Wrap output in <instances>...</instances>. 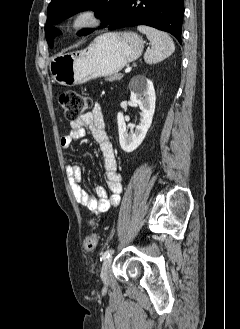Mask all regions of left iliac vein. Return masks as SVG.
I'll use <instances>...</instances> for the list:
<instances>
[{
	"label": "left iliac vein",
	"instance_id": "left-iliac-vein-1",
	"mask_svg": "<svg viewBox=\"0 0 240 329\" xmlns=\"http://www.w3.org/2000/svg\"><path fill=\"white\" fill-rule=\"evenodd\" d=\"M111 264H112V258H106L102 264L101 269V279L105 284H108L109 282V275L111 270Z\"/></svg>",
	"mask_w": 240,
	"mask_h": 329
}]
</instances>
